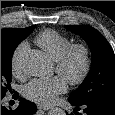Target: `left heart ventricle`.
Instances as JSON below:
<instances>
[{
    "mask_svg": "<svg viewBox=\"0 0 115 115\" xmlns=\"http://www.w3.org/2000/svg\"><path fill=\"white\" fill-rule=\"evenodd\" d=\"M82 68V59L79 55H76L69 66V72L71 74H76L78 73Z\"/></svg>",
    "mask_w": 115,
    "mask_h": 115,
    "instance_id": "b2bd125f",
    "label": "left heart ventricle"
}]
</instances>
